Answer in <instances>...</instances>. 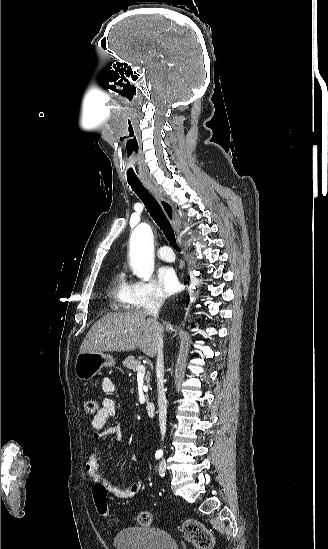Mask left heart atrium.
I'll use <instances>...</instances> for the list:
<instances>
[{"label": "left heart atrium", "instance_id": "1", "mask_svg": "<svg viewBox=\"0 0 328 549\" xmlns=\"http://www.w3.org/2000/svg\"><path fill=\"white\" fill-rule=\"evenodd\" d=\"M159 287L165 295L174 293L178 282L174 272L169 268H163L158 276Z\"/></svg>", "mask_w": 328, "mask_h": 549}]
</instances>
